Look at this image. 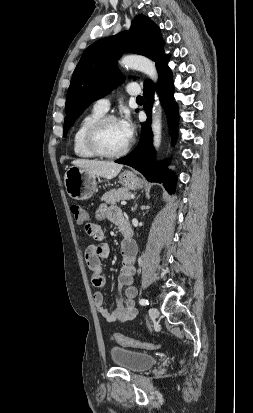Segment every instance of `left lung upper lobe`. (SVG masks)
I'll return each instance as SVG.
<instances>
[{
	"label": "left lung upper lobe",
	"instance_id": "1",
	"mask_svg": "<svg viewBox=\"0 0 253 413\" xmlns=\"http://www.w3.org/2000/svg\"><path fill=\"white\" fill-rule=\"evenodd\" d=\"M124 52L152 59L157 70L168 57L164 53L159 27L144 15H137L127 32L100 39L90 45L82 54L68 88L64 137L91 102L107 95L123 82L124 77L118 71L116 62Z\"/></svg>",
	"mask_w": 253,
	"mask_h": 413
}]
</instances>
